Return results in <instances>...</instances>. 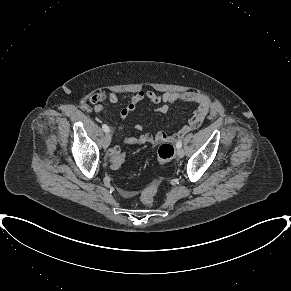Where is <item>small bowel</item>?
I'll use <instances>...</instances> for the list:
<instances>
[{
    "mask_svg": "<svg viewBox=\"0 0 291 291\" xmlns=\"http://www.w3.org/2000/svg\"><path fill=\"white\" fill-rule=\"evenodd\" d=\"M105 99L104 95L94 94L90 97V102L96 104L94 110L97 113H100L104 110L103 106L100 104ZM149 100L153 104L157 105L155 111L158 113H167L169 111L170 105L173 104L177 100H182L185 102L194 103L197 105V109L193 113L192 117L188 120V122L181 127V129L173 134L169 135L165 132H159L156 136H152L147 132H143L139 136L129 137L124 140V144L132 145V144H143V143H174L181 139L186 133L198 128L202 122L204 121L210 106L209 99L202 93L199 92H166L163 94H158L152 90H141L136 92L130 99V102L124 107L120 112V119L122 121L126 120L130 115L134 113L138 104L143 100ZM109 100L111 103L115 104L118 102V96L114 93L110 94ZM135 128L138 131H143V127L139 124L135 125ZM114 150H120L119 146H114L110 149L111 153ZM122 196L128 198L132 197L134 193L129 190H121Z\"/></svg>",
    "mask_w": 291,
    "mask_h": 291,
    "instance_id": "c3829d8e",
    "label": "small bowel"
}]
</instances>
